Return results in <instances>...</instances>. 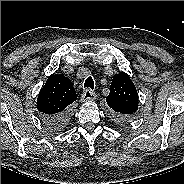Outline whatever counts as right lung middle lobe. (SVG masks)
I'll use <instances>...</instances> for the list:
<instances>
[{"instance_id":"1","label":"right lung middle lobe","mask_w":184,"mask_h":184,"mask_svg":"<svg viewBox=\"0 0 184 184\" xmlns=\"http://www.w3.org/2000/svg\"><path fill=\"white\" fill-rule=\"evenodd\" d=\"M66 123H67V122H66ZM66 123H65V124H66ZM65 124H64V125H65ZM64 125H62L61 127H55V128H62Z\"/></svg>"}]
</instances>
